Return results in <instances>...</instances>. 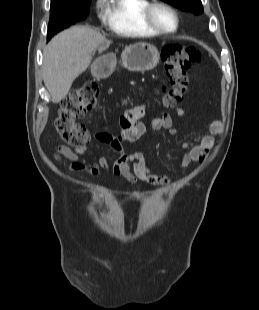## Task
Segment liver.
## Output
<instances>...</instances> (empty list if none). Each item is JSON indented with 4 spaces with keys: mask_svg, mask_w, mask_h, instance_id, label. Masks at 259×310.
<instances>
[{
    "mask_svg": "<svg viewBox=\"0 0 259 310\" xmlns=\"http://www.w3.org/2000/svg\"><path fill=\"white\" fill-rule=\"evenodd\" d=\"M112 42L100 32L75 26L56 35L43 52V80L53 103L64 99L73 81L91 63L92 53Z\"/></svg>",
    "mask_w": 259,
    "mask_h": 310,
    "instance_id": "liver-1",
    "label": "liver"
}]
</instances>
